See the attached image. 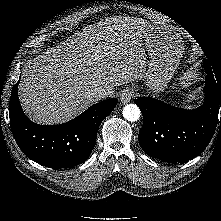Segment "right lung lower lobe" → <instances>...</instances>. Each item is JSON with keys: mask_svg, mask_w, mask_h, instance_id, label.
Listing matches in <instances>:
<instances>
[{"mask_svg": "<svg viewBox=\"0 0 221 221\" xmlns=\"http://www.w3.org/2000/svg\"><path fill=\"white\" fill-rule=\"evenodd\" d=\"M18 83L12 88L9 117L13 136L22 152L52 169L73 167L86 161L95 146L101 122L113 111L118 100L99 102L60 125H39L24 114L18 98Z\"/></svg>", "mask_w": 221, "mask_h": 221, "instance_id": "right-lung-lower-lobe-1", "label": "right lung lower lobe"}]
</instances>
